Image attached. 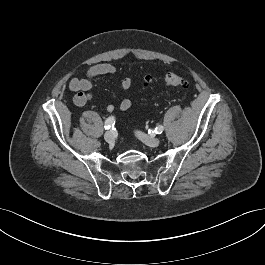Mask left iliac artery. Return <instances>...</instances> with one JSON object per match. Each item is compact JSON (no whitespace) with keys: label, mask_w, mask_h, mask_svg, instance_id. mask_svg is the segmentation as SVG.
Instances as JSON below:
<instances>
[{"label":"left iliac artery","mask_w":265,"mask_h":265,"mask_svg":"<svg viewBox=\"0 0 265 265\" xmlns=\"http://www.w3.org/2000/svg\"><path fill=\"white\" fill-rule=\"evenodd\" d=\"M163 130H164V127L161 126V125H159V126H157V127L155 128L154 132H155L156 134H161V133L163 132Z\"/></svg>","instance_id":"left-iliac-artery-1"}]
</instances>
